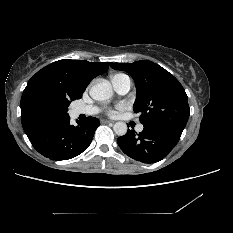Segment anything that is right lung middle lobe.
<instances>
[{"label": "right lung middle lobe", "instance_id": "1", "mask_svg": "<svg viewBox=\"0 0 233 233\" xmlns=\"http://www.w3.org/2000/svg\"><path fill=\"white\" fill-rule=\"evenodd\" d=\"M70 105L69 102H66L64 104H62L61 108L63 110V112L67 115V110H68V106Z\"/></svg>", "mask_w": 233, "mask_h": 233}]
</instances>
